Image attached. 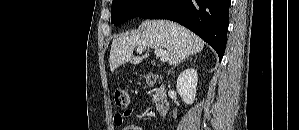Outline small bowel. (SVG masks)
Wrapping results in <instances>:
<instances>
[{
    "mask_svg": "<svg viewBox=\"0 0 299 130\" xmlns=\"http://www.w3.org/2000/svg\"><path fill=\"white\" fill-rule=\"evenodd\" d=\"M133 114V110L132 109H128L126 111H124L123 113H116L114 116V123L117 126H121L125 119L130 117ZM122 130H142L139 126L135 125V124H129L124 126V128Z\"/></svg>",
    "mask_w": 299,
    "mask_h": 130,
    "instance_id": "small-bowel-1",
    "label": "small bowel"
}]
</instances>
